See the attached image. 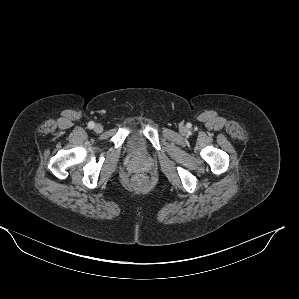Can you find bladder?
<instances>
[{
	"mask_svg": "<svg viewBox=\"0 0 299 299\" xmlns=\"http://www.w3.org/2000/svg\"><path fill=\"white\" fill-rule=\"evenodd\" d=\"M145 147V139L138 133L131 134L127 140L126 148L134 154H142Z\"/></svg>",
	"mask_w": 299,
	"mask_h": 299,
	"instance_id": "31cf9c89",
	"label": "bladder"
}]
</instances>
